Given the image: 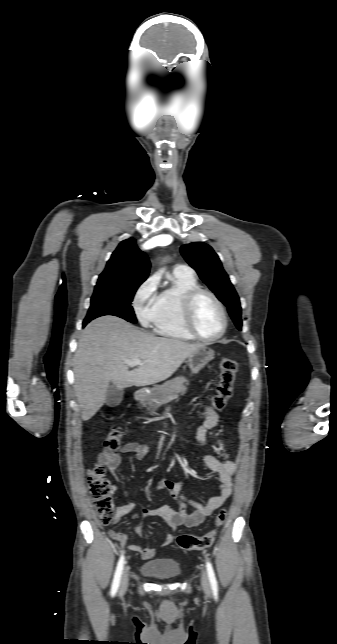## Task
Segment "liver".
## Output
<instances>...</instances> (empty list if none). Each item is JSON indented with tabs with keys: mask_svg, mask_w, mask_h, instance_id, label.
<instances>
[{
	"mask_svg": "<svg viewBox=\"0 0 337 644\" xmlns=\"http://www.w3.org/2000/svg\"><path fill=\"white\" fill-rule=\"evenodd\" d=\"M203 344L156 337L115 316H103L82 331L74 356V389L82 420L106 401L112 383L118 389L166 380ZM144 363L129 371L126 360Z\"/></svg>",
	"mask_w": 337,
	"mask_h": 644,
	"instance_id": "obj_1",
	"label": "liver"
}]
</instances>
